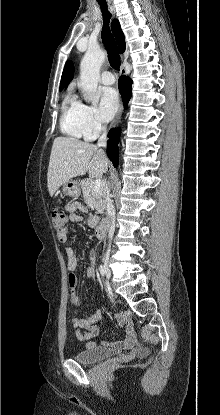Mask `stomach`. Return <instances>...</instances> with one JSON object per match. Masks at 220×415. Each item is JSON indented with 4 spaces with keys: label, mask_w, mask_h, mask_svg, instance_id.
<instances>
[{
    "label": "stomach",
    "mask_w": 220,
    "mask_h": 415,
    "mask_svg": "<svg viewBox=\"0 0 220 415\" xmlns=\"http://www.w3.org/2000/svg\"><path fill=\"white\" fill-rule=\"evenodd\" d=\"M63 191L67 196L79 197L81 194V184L77 180H69L63 184Z\"/></svg>",
    "instance_id": "1"
}]
</instances>
